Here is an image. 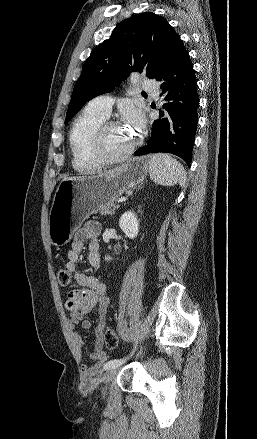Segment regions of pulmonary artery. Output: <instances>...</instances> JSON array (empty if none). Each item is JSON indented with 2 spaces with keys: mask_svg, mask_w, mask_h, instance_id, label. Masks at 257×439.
Masks as SVG:
<instances>
[{
  "mask_svg": "<svg viewBox=\"0 0 257 439\" xmlns=\"http://www.w3.org/2000/svg\"><path fill=\"white\" fill-rule=\"evenodd\" d=\"M139 79L141 81V88L144 90V92L150 94L154 99H158L159 91L157 83L145 76L140 77ZM112 105L113 98L111 96L100 95L92 99L86 108L108 117L110 115Z\"/></svg>",
  "mask_w": 257,
  "mask_h": 439,
  "instance_id": "1",
  "label": "pulmonary artery"
}]
</instances>
